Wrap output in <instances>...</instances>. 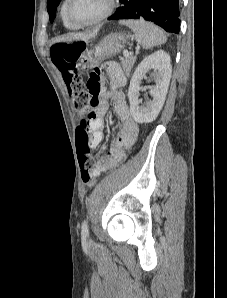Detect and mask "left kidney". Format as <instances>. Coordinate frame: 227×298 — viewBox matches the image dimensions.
I'll return each mask as SVG.
<instances>
[{"label": "left kidney", "instance_id": "left-kidney-1", "mask_svg": "<svg viewBox=\"0 0 227 298\" xmlns=\"http://www.w3.org/2000/svg\"><path fill=\"white\" fill-rule=\"evenodd\" d=\"M153 69V76L156 77V86L151 87L152 101L146 103L145 106H139V91L142 77ZM172 67L170 64V56L163 50L144 58L138 65L132 75L128 90V98L130 101V112L134 120L138 123H148L153 121L161 111L165 102L168 91Z\"/></svg>", "mask_w": 227, "mask_h": 298}]
</instances>
